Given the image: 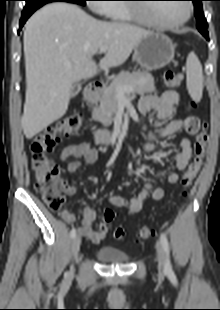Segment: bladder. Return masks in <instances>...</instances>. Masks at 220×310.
<instances>
[{
    "mask_svg": "<svg viewBox=\"0 0 220 310\" xmlns=\"http://www.w3.org/2000/svg\"><path fill=\"white\" fill-rule=\"evenodd\" d=\"M94 255L104 264H123L129 259L128 253L113 246H102L95 250Z\"/></svg>",
    "mask_w": 220,
    "mask_h": 310,
    "instance_id": "31cf9c89",
    "label": "bladder"
}]
</instances>
